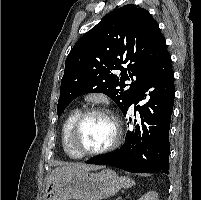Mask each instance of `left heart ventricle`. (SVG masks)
I'll return each instance as SVG.
<instances>
[{
  "label": "left heart ventricle",
  "instance_id": "left-heart-ventricle-1",
  "mask_svg": "<svg viewBox=\"0 0 201 200\" xmlns=\"http://www.w3.org/2000/svg\"><path fill=\"white\" fill-rule=\"evenodd\" d=\"M114 127L111 120L103 115L86 118L79 127L76 140L83 151L98 150L106 146L113 138Z\"/></svg>",
  "mask_w": 201,
  "mask_h": 200
}]
</instances>
